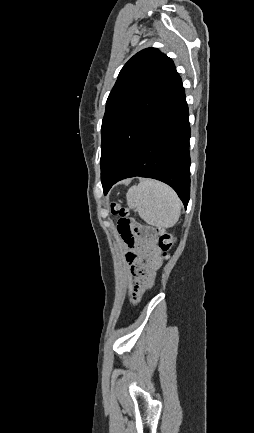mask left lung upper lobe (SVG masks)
I'll return each instance as SVG.
<instances>
[{"label":"left lung upper lobe","mask_w":254,"mask_h":433,"mask_svg":"<svg viewBox=\"0 0 254 433\" xmlns=\"http://www.w3.org/2000/svg\"><path fill=\"white\" fill-rule=\"evenodd\" d=\"M178 77L173 61L156 48L138 52L124 65L107 99L102 121V183L119 166L137 132Z\"/></svg>","instance_id":"left-lung-upper-lobe-1"}]
</instances>
